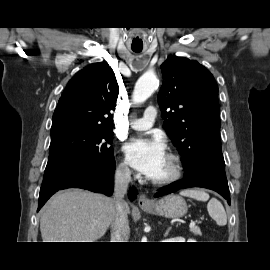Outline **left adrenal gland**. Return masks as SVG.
Segmentation results:
<instances>
[{
    "label": "left adrenal gland",
    "instance_id": "left-adrenal-gland-1",
    "mask_svg": "<svg viewBox=\"0 0 270 270\" xmlns=\"http://www.w3.org/2000/svg\"><path fill=\"white\" fill-rule=\"evenodd\" d=\"M171 228H168L167 231L165 232V237L168 235L169 231H170Z\"/></svg>",
    "mask_w": 270,
    "mask_h": 270
}]
</instances>
